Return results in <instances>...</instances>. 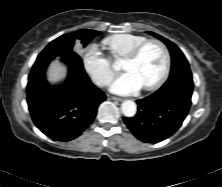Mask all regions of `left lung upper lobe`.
<instances>
[{
	"label": "left lung upper lobe",
	"instance_id": "obj_1",
	"mask_svg": "<svg viewBox=\"0 0 222 187\" xmlns=\"http://www.w3.org/2000/svg\"><path fill=\"white\" fill-rule=\"evenodd\" d=\"M148 33L163 41L169 48L172 58V66L169 79L178 77L183 72H191L188 61L186 60L184 54L173 42L167 40L166 38L156 33L153 32H148Z\"/></svg>",
	"mask_w": 222,
	"mask_h": 187
}]
</instances>
